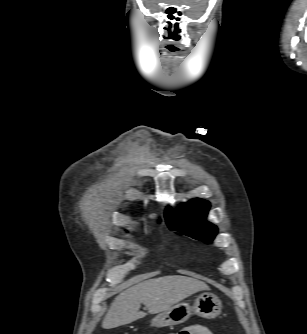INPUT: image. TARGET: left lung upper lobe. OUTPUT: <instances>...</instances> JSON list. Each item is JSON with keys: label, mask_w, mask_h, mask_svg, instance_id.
<instances>
[{"label": "left lung upper lobe", "mask_w": 307, "mask_h": 334, "mask_svg": "<svg viewBox=\"0 0 307 334\" xmlns=\"http://www.w3.org/2000/svg\"><path fill=\"white\" fill-rule=\"evenodd\" d=\"M210 203L203 199H193L181 205L177 214L171 208L165 212L166 222L171 230H175V222L182 228L181 233L205 243H211L217 234V227L206 222Z\"/></svg>", "instance_id": "5c2ea615"}]
</instances>
